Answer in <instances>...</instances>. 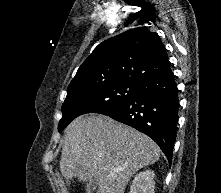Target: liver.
<instances>
[{
    "instance_id": "6515ba94",
    "label": "liver",
    "mask_w": 221,
    "mask_h": 193,
    "mask_svg": "<svg viewBox=\"0 0 221 193\" xmlns=\"http://www.w3.org/2000/svg\"><path fill=\"white\" fill-rule=\"evenodd\" d=\"M159 157L160 148L147 135L108 116L90 114L66 128L60 171L69 185L72 178L96 179L97 193H124L130 178Z\"/></svg>"
}]
</instances>
